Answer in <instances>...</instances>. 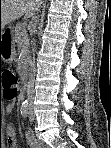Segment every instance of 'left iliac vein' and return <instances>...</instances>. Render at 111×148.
<instances>
[{
  "label": "left iliac vein",
  "instance_id": "obj_1",
  "mask_svg": "<svg viewBox=\"0 0 111 148\" xmlns=\"http://www.w3.org/2000/svg\"><path fill=\"white\" fill-rule=\"evenodd\" d=\"M34 119H35V115H34L33 107L30 105V107H29V120L31 122H33Z\"/></svg>",
  "mask_w": 111,
  "mask_h": 148
}]
</instances>
